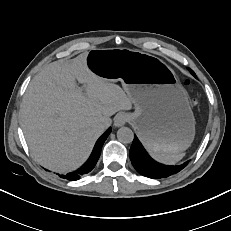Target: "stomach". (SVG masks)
I'll use <instances>...</instances> for the list:
<instances>
[{
	"instance_id": "obj_1",
	"label": "stomach",
	"mask_w": 231,
	"mask_h": 231,
	"mask_svg": "<svg viewBox=\"0 0 231 231\" xmlns=\"http://www.w3.org/2000/svg\"><path fill=\"white\" fill-rule=\"evenodd\" d=\"M86 65L95 75L120 81L135 106L130 122L154 153L178 154L195 136L187 93L174 71L156 56L125 48L95 49Z\"/></svg>"
}]
</instances>
